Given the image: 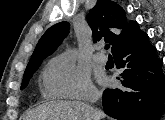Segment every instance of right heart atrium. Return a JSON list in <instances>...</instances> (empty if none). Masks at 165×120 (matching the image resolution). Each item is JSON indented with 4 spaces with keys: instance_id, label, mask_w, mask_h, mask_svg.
I'll return each instance as SVG.
<instances>
[{
    "instance_id": "d8ad5b80",
    "label": "right heart atrium",
    "mask_w": 165,
    "mask_h": 120,
    "mask_svg": "<svg viewBox=\"0 0 165 120\" xmlns=\"http://www.w3.org/2000/svg\"><path fill=\"white\" fill-rule=\"evenodd\" d=\"M43 80L51 97L89 100L98 94L89 72L66 55H59L48 63Z\"/></svg>"
}]
</instances>
